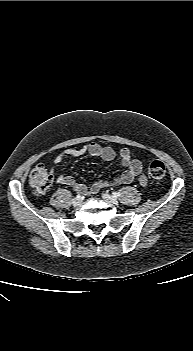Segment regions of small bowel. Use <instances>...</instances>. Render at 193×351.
<instances>
[{
    "label": "small bowel",
    "mask_w": 193,
    "mask_h": 351,
    "mask_svg": "<svg viewBox=\"0 0 193 351\" xmlns=\"http://www.w3.org/2000/svg\"><path fill=\"white\" fill-rule=\"evenodd\" d=\"M90 155L94 158L101 159L105 162L113 161L117 154L116 151L108 146H102L98 143H89L80 148H68L60 152L54 158V164L59 165L63 159L67 157H80ZM119 163L125 170L112 180H98L90 187L85 184L78 183L75 179L62 173L58 174L55 182L59 185H65L73 188L81 194H96L103 188L119 184H128L138 179L142 185L146 184V177L142 173V164L139 160L132 158L128 148H123L119 151Z\"/></svg>",
    "instance_id": "c3829d8e"
}]
</instances>
